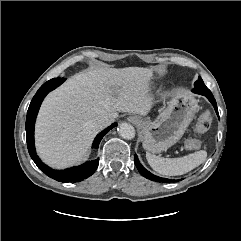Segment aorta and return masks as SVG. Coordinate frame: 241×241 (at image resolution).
Masks as SVG:
<instances>
[{
  "label": "aorta",
  "mask_w": 241,
  "mask_h": 241,
  "mask_svg": "<svg viewBox=\"0 0 241 241\" xmlns=\"http://www.w3.org/2000/svg\"><path fill=\"white\" fill-rule=\"evenodd\" d=\"M119 135L127 140H131L135 137V129L134 127L126 122H123L118 127Z\"/></svg>",
  "instance_id": "1"
}]
</instances>
